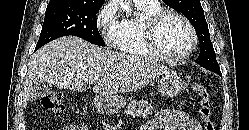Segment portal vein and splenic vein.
Instances as JSON below:
<instances>
[{
  "label": "portal vein and splenic vein",
  "instance_id": "18ae733b",
  "mask_svg": "<svg viewBox=\"0 0 249 130\" xmlns=\"http://www.w3.org/2000/svg\"><path fill=\"white\" fill-rule=\"evenodd\" d=\"M86 80H88V79H86ZM88 81H89V82H92V83H95V82H96V79H91V80L89 79Z\"/></svg>",
  "mask_w": 249,
  "mask_h": 130
}]
</instances>
